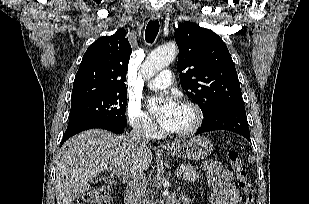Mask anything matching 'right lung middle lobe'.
<instances>
[{
    "instance_id": "obj_1",
    "label": "right lung middle lobe",
    "mask_w": 309,
    "mask_h": 204,
    "mask_svg": "<svg viewBox=\"0 0 309 204\" xmlns=\"http://www.w3.org/2000/svg\"><path fill=\"white\" fill-rule=\"evenodd\" d=\"M127 93H110L71 104L69 125L99 120L116 126L126 127L125 116Z\"/></svg>"
}]
</instances>
